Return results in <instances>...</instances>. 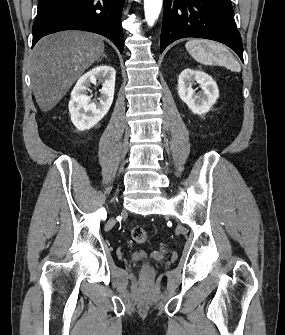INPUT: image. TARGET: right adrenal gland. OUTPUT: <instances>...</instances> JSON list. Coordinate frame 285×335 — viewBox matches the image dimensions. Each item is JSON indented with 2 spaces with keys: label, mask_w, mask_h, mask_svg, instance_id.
<instances>
[{
  "label": "right adrenal gland",
  "mask_w": 285,
  "mask_h": 335,
  "mask_svg": "<svg viewBox=\"0 0 285 335\" xmlns=\"http://www.w3.org/2000/svg\"><path fill=\"white\" fill-rule=\"evenodd\" d=\"M103 58H107V56H103Z\"/></svg>",
  "instance_id": "1"
}]
</instances>
